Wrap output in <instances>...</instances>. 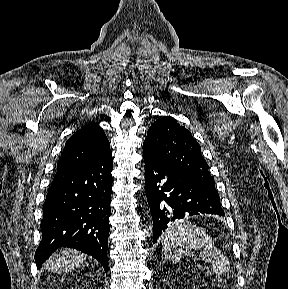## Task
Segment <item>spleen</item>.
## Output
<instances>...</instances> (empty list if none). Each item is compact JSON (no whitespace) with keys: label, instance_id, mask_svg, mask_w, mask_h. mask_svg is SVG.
<instances>
[{"label":"spleen","instance_id":"1","mask_svg":"<svg viewBox=\"0 0 288 289\" xmlns=\"http://www.w3.org/2000/svg\"><path fill=\"white\" fill-rule=\"evenodd\" d=\"M161 245L165 257L171 261H179L183 257V249L201 250L200 257L210 263L216 277L230 268L228 258L214 247L205 230L187 219L171 224L161 236ZM197 268L201 270V265L197 264Z\"/></svg>","mask_w":288,"mask_h":289}]
</instances>
